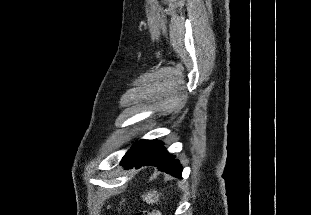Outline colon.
<instances>
[{
	"instance_id": "1",
	"label": "colon",
	"mask_w": 311,
	"mask_h": 215,
	"mask_svg": "<svg viewBox=\"0 0 311 215\" xmlns=\"http://www.w3.org/2000/svg\"><path fill=\"white\" fill-rule=\"evenodd\" d=\"M136 215H162L158 211H140Z\"/></svg>"
}]
</instances>
